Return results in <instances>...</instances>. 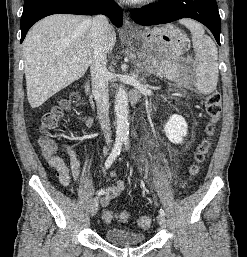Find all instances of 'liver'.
I'll return each instance as SVG.
<instances>
[{"mask_svg":"<svg viewBox=\"0 0 247 257\" xmlns=\"http://www.w3.org/2000/svg\"><path fill=\"white\" fill-rule=\"evenodd\" d=\"M92 19L55 14L37 22L23 42L27 97L37 108L81 78L93 57ZM116 32L109 25L106 52L112 51ZM78 59V61H73Z\"/></svg>","mask_w":247,"mask_h":257,"instance_id":"liver-1","label":"liver"}]
</instances>
